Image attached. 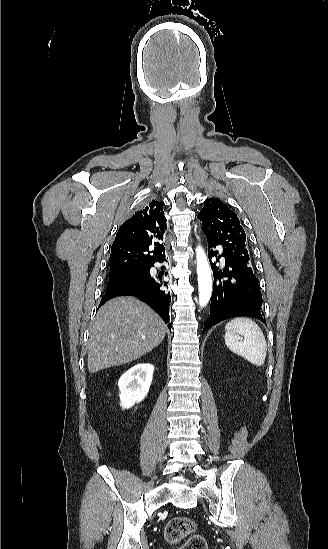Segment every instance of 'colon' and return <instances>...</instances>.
Segmentation results:
<instances>
[{
  "mask_svg": "<svg viewBox=\"0 0 328 549\" xmlns=\"http://www.w3.org/2000/svg\"><path fill=\"white\" fill-rule=\"evenodd\" d=\"M195 522L184 516L173 518L166 526L165 539L171 545H177L178 549H206L205 539L195 533Z\"/></svg>",
  "mask_w": 328,
  "mask_h": 549,
  "instance_id": "obj_1",
  "label": "colon"
}]
</instances>
